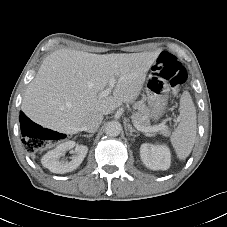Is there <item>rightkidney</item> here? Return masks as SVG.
Masks as SVG:
<instances>
[{"label":"right kidney","mask_w":227,"mask_h":227,"mask_svg":"<svg viewBox=\"0 0 227 227\" xmlns=\"http://www.w3.org/2000/svg\"><path fill=\"white\" fill-rule=\"evenodd\" d=\"M74 147L75 149L72 151L74 155L70 158V160H68L66 157H64L65 153ZM87 152V146L77 145L74 141H67L47 152L42 157L41 162L42 165L45 168H48L51 172L64 174L78 168V166L84 160Z\"/></svg>","instance_id":"obj_1"}]
</instances>
